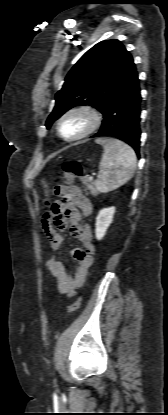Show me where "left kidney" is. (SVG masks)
I'll list each match as a JSON object with an SVG mask.
<instances>
[{"label": "left kidney", "instance_id": "5707ae66", "mask_svg": "<svg viewBox=\"0 0 168 415\" xmlns=\"http://www.w3.org/2000/svg\"><path fill=\"white\" fill-rule=\"evenodd\" d=\"M114 213L115 207H109L100 210L99 214L97 215L95 234L98 240H101L104 237L108 227L113 221Z\"/></svg>", "mask_w": 168, "mask_h": 415}]
</instances>
